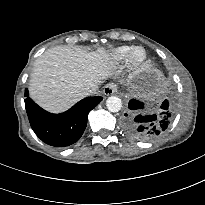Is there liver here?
Masks as SVG:
<instances>
[{"label":"liver","instance_id":"6515ba94","mask_svg":"<svg viewBox=\"0 0 205 205\" xmlns=\"http://www.w3.org/2000/svg\"><path fill=\"white\" fill-rule=\"evenodd\" d=\"M112 66L102 47L89 51L82 46H55L34 62L30 97L50 112H63L98 87Z\"/></svg>","mask_w":205,"mask_h":205}]
</instances>
